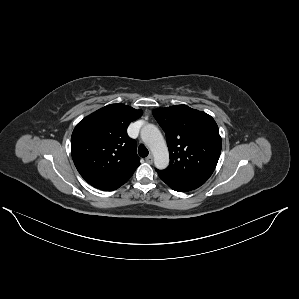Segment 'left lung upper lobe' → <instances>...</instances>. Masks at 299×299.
Instances as JSON below:
<instances>
[{
  "label": "left lung upper lobe",
  "mask_w": 299,
  "mask_h": 299,
  "mask_svg": "<svg viewBox=\"0 0 299 299\" xmlns=\"http://www.w3.org/2000/svg\"><path fill=\"white\" fill-rule=\"evenodd\" d=\"M152 113L166 133L170 156V165L159 171L177 179H209L222 145L214 119L187 105L157 108Z\"/></svg>",
  "instance_id": "5c2ea615"
}]
</instances>
